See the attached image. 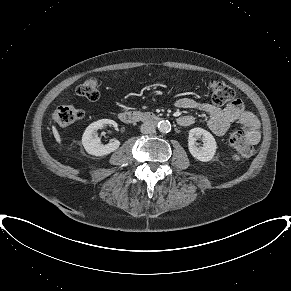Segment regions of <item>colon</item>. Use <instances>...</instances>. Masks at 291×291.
I'll use <instances>...</instances> for the list:
<instances>
[{
  "instance_id": "1",
  "label": "colon",
  "mask_w": 291,
  "mask_h": 291,
  "mask_svg": "<svg viewBox=\"0 0 291 291\" xmlns=\"http://www.w3.org/2000/svg\"><path fill=\"white\" fill-rule=\"evenodd\" d=\"M209 90L211 93L212 102L215 105H223L231 101L235 92L229 85L211 80L209 82ZM76 94L90 101H95L99 98V83L95 78H88L83 83L77 86ZM83 118V111L69 105L58 106L54 113L53 119L61 126H68L78 122ZM229 143L234 150L233 157L235 159L249 158L254 153L253 144L245 137L240 130H232L229 135Z\"/></svg>"
}]
</instances>
